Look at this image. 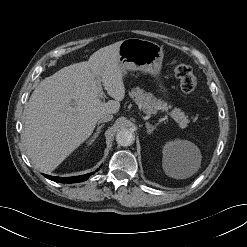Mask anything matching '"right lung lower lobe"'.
<instances>
[{
	"label": "right lung lower lobe",
	"mask_w": 247,
	"mask_h": 247,
	"mask_svg": "<svg viewBox=\"0 0 247 247\" xmlns=\"http://www.w3.org/2000/svg\"><path fill=\"white\" fill-rule=\"evenodd\" d=\"M97 169L96 171H98ZM94 172L86 174V175H81V176H76V177H67V178H61V177H54V176H49V175H44L46 178L55 181V182H60V183H77V182H82L87 180Z\"/></svg>",
	"instance_id": "98d812e1"
}]
</instances>
